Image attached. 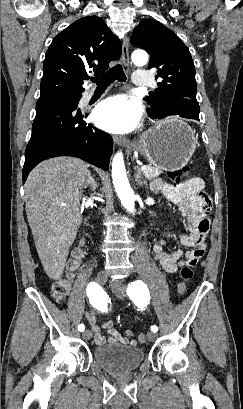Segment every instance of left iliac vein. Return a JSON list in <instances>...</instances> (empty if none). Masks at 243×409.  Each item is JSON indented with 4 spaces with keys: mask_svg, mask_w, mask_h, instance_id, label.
<instances>
[{
    "mask_svg": "<svg viewBox=\"0 0 243 409\" xmlns=\"http://www.w3.org/2000/svg\"><path fill=\"white\" fill-rule=\"evenodd\" d=\"M110 287H111V290L113 291V293L117 297L123 298L125 296L126 286L120 280L110 281ZM156 338H157L156 333H154V332H148L147 333L148 341L153 342L154 340H156Z\"/></svg>",
    "mask_w": 243,
    "mask_h": 409,
    "instance_id": "1",
    "label": "left iliac vein"
}]
</instances>
